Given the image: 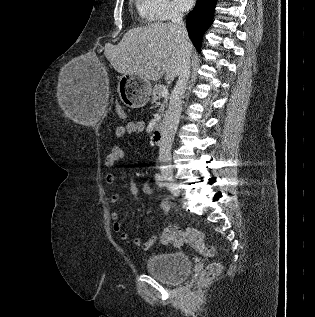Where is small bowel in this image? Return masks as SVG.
Here are the masks:
<instances>
[{
	"label": "small bowel",
	"mask_w": 315,
	"mask_h": 317,
	"mask_svg": "<svg viewBox=\"0 0 315 317\" xmlns=\"http://www.w3.org/2000/svg\"><path fill=\"white\" fill-rule=\"evenodd\" d=\"M145 130V123L142 120H134V121H129L126 123L124 126H120L116 129L115 135L117 138H122L134 133H139L143 132ZM126 151L122 146H114L110 152V154L106 157L104 161L105 167L109 170V172L106 175V183L111 185L115 182L116 180V174L112 170L115 164L120 162L125 158ZM128 189L130 193L132 194L134 201L136 203L140 202L139 198V190L137 187V184L135 181L131 178L128 179ZM142 191L143 193L147 195H151L153 193V187L150 182H145L142 186ZM121 197L118 193H113L111 195V202L113 204H116L120 201ZM161 209L165 213H169L170 211V205L167 201H162L160 204ZM111 219H112V229L115 233H117L120 237L121 240L126 241L129 239L130 235L129 233L124 230L122 223L119 220V213L117 211H113L111 213ZM157 236L152 235L150 238L147 240H142L141 238L135 237L132 239V243L137 246L142 248L143 250H149L152 245L156 242Z\"/></svg>",
	"instance_id": "1"
}]
</instances>
